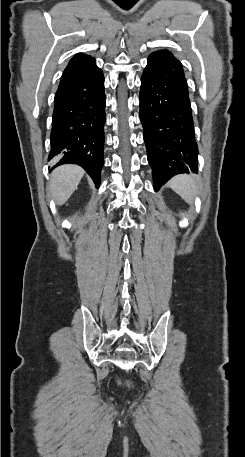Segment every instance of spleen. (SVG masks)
<instances>
[{
	"instance_id": "obj_1",
	"label": "spleen",
	"mask_w": 245,
	"mask_h": 457,
	"mask_svg": "<svg viewBox=\"0 0 245 457\" xmlns=\"http://www.w3.org/2000/svg\"><path fill=\"white\" fill-rule=\"evenodd\" d=\"M169 186L178 192L186 202L193 204L194 196L197 194L195 178L191 174H176L169 180Z\"/></svg>"
}]
</instances>
